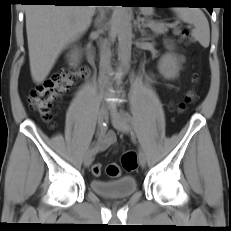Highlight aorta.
<instances>
[{
	"instance_id": "1",
	"label": "aorta",
	"mask_w": 231,
	"mask_h": 231,
	"mask_svg": "<svg viewBox=\"0 0 231 231\" xmlns=\"http://www.w3.org/2000/svg\"><path fill=\"white\" fill-rule=\"evenodd\" d=\"M118 21V60L120 69L124 70L131 61L132 25L128 7L119 6Z\"/></svg>"
}]
</instances>
